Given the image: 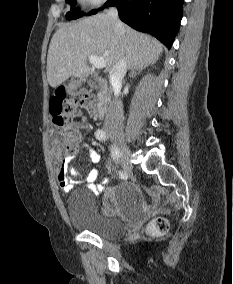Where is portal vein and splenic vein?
I'll use <instances>...</instances> for the list:
<instances>
[{
  "label": "portal vein and splenic vein",
  "mask_w": 233,
  "mask_h": 284,
  "mask_svg": "<svg viewBox=\"0 0 233 284\" xmlns=\"http://www.w3.org/2000/svg\"><path fill=\"white\" fill-rule=\"evenodd\" d=\"M89 61L94 67L98 69L106 67V61L102 57L91 55L89 56Z\"/></svg>",
  "instance_id": "obj_1"
}]
</instances>
